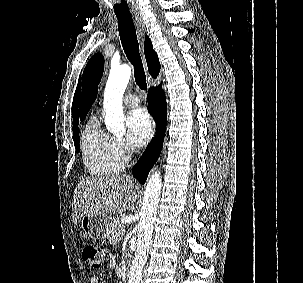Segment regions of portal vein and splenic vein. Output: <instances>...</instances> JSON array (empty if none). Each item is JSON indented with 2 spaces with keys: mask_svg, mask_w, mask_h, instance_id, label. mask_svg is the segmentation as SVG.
Instances as JSON below:
<instances>
[{
  "mask_svg": "<svg viewBox=\"0 0 303 283\" xmlns=\"http://www.w3.org/2000/svg\"><path fill=\"white\" fill-rule=\"evenodd\" d=\"M124 232H125V229L122 230V233H124Z\"/></svg>",
  "mask_w": 303,
  "mask_h": 283,
  "instance_id": "1",
  "label": "portal vein and splenic vein"
}]
</instances>
